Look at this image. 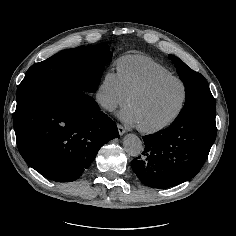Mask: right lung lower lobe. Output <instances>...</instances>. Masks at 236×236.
<instances>
[{"instance_id":"1","label":"right lung lower lobe","mask_w":236,"mask_h":236,"mask_svg":"<svg viewBox=\"0 0 236 236\" xmlns=\"http://www.w3.org/2000/svg\"><path fill=\"white\" fill-rule=\"evenodd\" d=\"M13 124L24 160L57 182L78 179L101 146L119 137L115 122L88 93L76 89L38 95L17 105Z\"/></svg>"}]
</instances>
